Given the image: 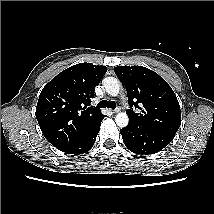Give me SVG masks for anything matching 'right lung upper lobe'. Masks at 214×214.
Wrapping results in <instances>:
<instances>
[{
	"label": "right lung upper lobe",
	"instance_id": "cb5924a9",
	"mask_svg": "<svg viewBox=\"0 0 214 214\" xmlns=\"http://www.w3.org/2000/svg\"><path fill=\"white\" fill-rule=\"evenodd\" d=\"M107 68L79 63L59 73L40 93L36 118L45 138L57 149L75 144L103 118L99 108L90 106L94 88Z\"/></svg>",
	"mask_w": 214,
	"mask_h": 214
}]
</instances>
